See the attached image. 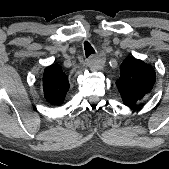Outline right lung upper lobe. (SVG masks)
Here are the masks:
<instances>
[{
	"mask_svg": "<svg viewBox=\"0 0 169 169\" xmlns=\"http://www.w3.org/2000/svg\"><path fill=\"white\" fill-rule=\"evenodd\" d=\"M43 84L47 101L53 105H60L69 89L68 77L62 73L61 67H47L43 75Z\"/></svg>",
	"mask_w": 169,
	"mask_h": 169,
	"instance_id": "obj_1",
	"label": "right lung upper lobe"
}]
</instances>
